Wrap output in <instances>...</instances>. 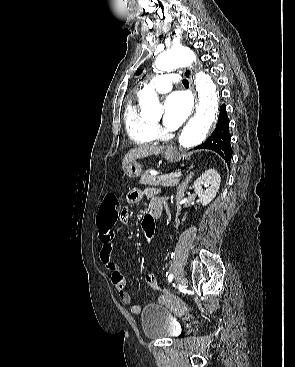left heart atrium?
I'll list each match as a JSON object with an SVG mask.
<instances>
[{
	"label": "left heart atrium",
	"instance_id": "39dd6f15",
	"mask_svg": "<svg viewBox=\"0 0 295 367\" xmlns=\"http://www.w3.org/2000/svg\"><path fill=\"white\" fill-rule=\"evenodd\" d=\"M192 103L182 91L170 94L164 103L163 124L168 130L177 129L188 117Z\"/></svg>",
	"mask_w": 295,
	"mask_h": 367
}]
</instances>
